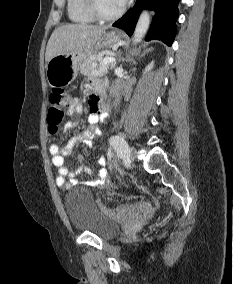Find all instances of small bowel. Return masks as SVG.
Wrapping results in <instances>:
<instances>
[{"instance_id": "c3829d8e", "label": "small bowel", "mask_w": 233, "mask_h": 284, "mask_svg": "<svg viewBox=\"0 0 233 284\" xmlns=\"http://www.w3.org/2000/svg\"><path fill=\"white\" fill-rule=\"evenodd\" d=\"M94 89L101 90V85L97 82L92 83ZM83 112L82 104L78 99H70L67 115L74 116ZM107 119V108L100 103V98L96 94H92L89 97V127L74 136L65 146L61 147L57 144H51L49 146V152L52 157V164L58 169L56 177V183L59 187L64 189L70 188L72 185L80 184L78 176L84 172L94 176L91 180L83 182V184L98 187L104 185L108 180V174L105 166L108 163V157L103 156L99 163L100 167L94 171L87 165L82 163L81 157H79L77 163L68 167L65 164V159L71 154L74 145L77 142L92 141L97 134L96 124L103 122ZM75 126L74 121H68L64 125V130H69Z\"/></svg>"}]
</instances>
